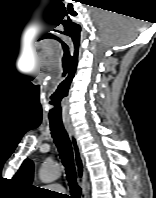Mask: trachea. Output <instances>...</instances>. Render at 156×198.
<instances>
[{
  "label": "trachea",
  "mask_w": 156,
  "mask_h": 198,
  "mask_svg": "<svg viewBox=\"0 0 156 198\" xmlns=\"http://www.w3.org/2000/svg\"><path fill=\"white\" fill-rule=\"evenodd\" d=\"M50 129L54 142L58 148L62 163L65 166L66 176L72 194L69 198H80L81 189L76 182L73 151L68 134L62 122L50 121Z\"/></svg>",
  "instance_id": "1"
}]
</instances>
